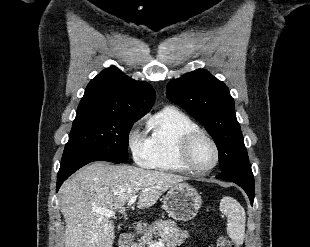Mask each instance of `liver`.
Masks as SVG:
<instances>
[{"mask_svg":"<svg viewBox=\"0 0 310 247\" xmlns=\"http://www.w3.org/2000/svg\"><path fill=\"white\" fill-rule=\"evenodd\" d=\"M186 177L130 165L95 162L67 179L59 190L65 247H112L114 222L97 210H118L140 192L138 209L153 206Z\"/></svg>","mask_w":310,"mask_h":247,"instance_id":"liver-1","label":"liver"}]
</instances>
